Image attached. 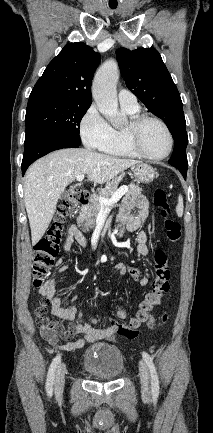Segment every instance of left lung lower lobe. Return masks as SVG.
I'll list each match as a JSON object with an SVG mask.
<instances>
[{"label": "left lung lower lobe", "instance_id": "0a47b994", "mask_svg": "<svg viewBox=\"0 0 213 433\" xmlns=\"http://www.w3.org/2000/svg\"><path fill=\"white\" fill-rule=\"evenodd\" d=\"M175 168H177L182 173L184 179H186L187 169L179 168V167H175Z\"/></svg>", "mask_w": 213, "mask_h": 433}]
</instances>
